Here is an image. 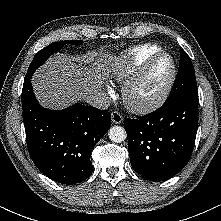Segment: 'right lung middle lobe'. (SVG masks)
Wrapping results in <instances>:
<instances>
[{
  "label": "right lung middle lobe",
  "mask_w": 221,
  "mask_h": 221,
  "mask_svg": "<svg viewBox=\"0 0 221 221\" xmlns=\"http://www.w3.org/2000/svg\"><path fill=\"white\" fill-rule=\"evenodd\" d=\"M82 41H60V42H54L40 50L33 58L32 63L30 64L28 68L27 74H33L34 71L42 65L49 56L54 54L55 52L59 51L61 48H63L64 45H80Z\"/></svg>",
  "instance_id": "obj_1"
}]
</instances>
